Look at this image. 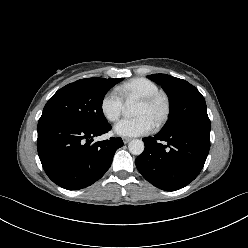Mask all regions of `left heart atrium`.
<instances>
[{
    "mask_svg": "<svg viewBox=\"0 0 248 248\" xmlns=\"http://www.w3.org/2000/svg\"><path fill=\"white\" fill-rule=\"evenodd\" d=\"M153 126L145 116H137L118 121L114 126V132L119 136L134 137L150 133Z\"/></svg>",
    "mask_w": 248,
    "mask_h": 248,
    "instance_id": "39dd6f15",
    "label": "left heart atrium"
}]
</instances>
